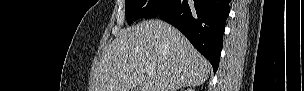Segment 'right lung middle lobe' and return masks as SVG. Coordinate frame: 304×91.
Masks as SVG:
<instances>
[{
	"instance_id": "1",
	"label": "right lung middle lobe",
	"mask_w": 304,
	"mask_h": 91,
	"mask_svg": "<svg viewBox=\"0 0 304 91\" xmlns=\"http://www.w3.org/2000/svg\"><path fill=\"white\" fill-rule=\"evenodd\" d=\"M170 0H125V14L129 24L137 18H156Z\"/></svg>"
}]
</instances>
